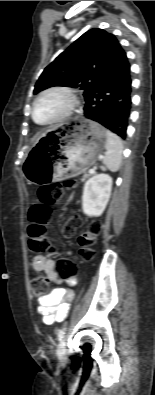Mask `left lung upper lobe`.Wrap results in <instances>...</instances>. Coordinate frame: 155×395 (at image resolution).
I'll use <instances>...</instances> for the list:
<instances>
[{
    "instance_id": "left-lung-upper-lobe-1",
    "label": "left lung upper lobe",
    "mask_w": 155,
    "mask_h": 395,
    "mask_svg": "<svg viewBox=\"0 0 155 395\" xmlns=\"http://www.w3.org/2000/svg\"><path fill=\"white\" fill-rule=\"evenodd\" d=\"M125 57V51L113 34L91 29L45 68L34 94L52 86H66L84 90L86 99L103 76Z\"/></svg>"
}]
</instances>
